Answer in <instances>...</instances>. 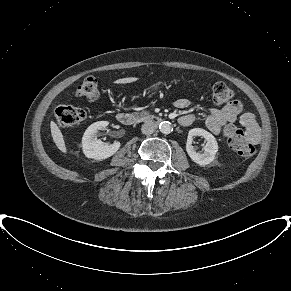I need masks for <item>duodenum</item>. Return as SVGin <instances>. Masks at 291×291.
I'll return each mask as SVG.
<instances>
[{"label": "duodenum", "instance_id": "410a0bca", "mask_svg": "<svg viewBox=\"0 0 291 291\" xmlns=\"http://www.w3.org/2000/svg\"><path fill=\"white\" fill-rule=\"evenodd\" d=\"M116 118L123 125H131L136 120V117L133 114L128 113V112H120L117 114ZM146 120L151 123L158 124L160 123L161 118L154 115H149L146 117Z\"/></svg>", "mask_w": 291, "mask_h": 291}]
</instances>
